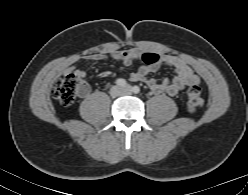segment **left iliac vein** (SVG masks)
Here are the masks:
<instances>
[{
	"mask_svg": "<svg viewBox=\"0 0 248 195\" xmlns=\"http://www.w3.org/2000/svg\"><path fill=\"white\" fill-rule=\"evenodd\" d=\"M123 91L127 94H129L132 91V88L130 86H127L123 89Z\"/></svg>",
	"mask_w": 248,
	"mask_h": 195,
	"instance_id": "1",
	"label": "left iliac vein"
}]
</instances>
